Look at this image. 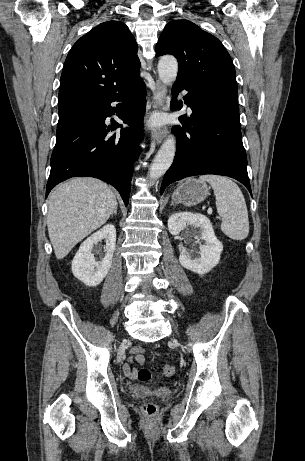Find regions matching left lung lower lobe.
<instances>
[{"mask_svg": "<svg viewBox=\"0 0 305 461\" xmlns=\"http://www.w3.org/2000/svg\"><path fill=\"white\" fill-rule=\"evenodd\" d=\"M187 90L184 102L192 109L190 118L178 119L175 126L177 151L173 164L166 172L160 193L177 180L199 174H217L232 177L251 193L247 174V157L242 143L237 101L233 86H186L176 82L172 93ZM179 104H182L180 101ZM171 110H180L175 98ZM252 195V193H251Z\"/></svg>", "mask_w": 305, "mask_h": 461, "instance_id": "1", "label": "left lung lower lobe"}]
</instances>
